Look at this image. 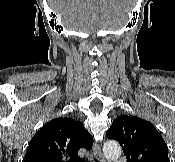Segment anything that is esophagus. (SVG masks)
Returning <instances> with one entry per match:
<instances>
[{
	"mask_svg": "<svg viewBox=\"0 0 175 162\" xmlns=\"http://www.w3.org/2000/svg\"><path fill=\"white\" fill-rule=\"evenodd\" d=\"M93 152H94V155H95L96 159L99 162H105L104 157H103L102 152H101V149H100V146H99L98 143H94Z\"/></svg>",
	"mask_w": 175,
	"mask_h": 162,
	"instance_id": "obj_1",
	"label": "esophagus"
}]
</instances>
